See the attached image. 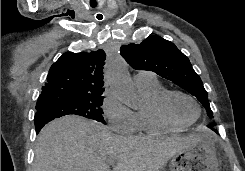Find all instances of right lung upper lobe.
Returning <instances> with one entry per match:
<instances>
[{
	"instance_id": "obj_1",
	"label": "right lung upper lobe",
	"mask_w": 245,
	"mask_h": 171,
	"mask_svg": "<svg viewBox=\"0 0 245 171\" xmlns=\"http://www.w3.org/2000/svg\"><path fill=\"white\" fill-rule=\"evenodd\" d=\"M105 59L101 49L90 53H64L51 66L37 104L48 98L102 95Z\"/></svg>"
}]
</instances>
